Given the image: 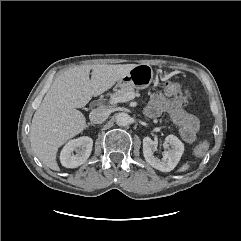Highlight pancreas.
Masks as SVG:
<instances>
[{
	"mask_svg": "<svg viewBox=\"0 0 241 241\" xmlns=\"http://www.w3.org/2000/svg\"><path fill=\"white\" fill-rule=\"evenodd\" d=\"M130 92H134V87L132 86L121 87V89L117 90L112 97H123L124 95Z\"/></svg>",
	"mask_w": 241,
	"mask_h": 241,
	"instance_id": "1",
	"label": "pancreas"
}]
</instances>
